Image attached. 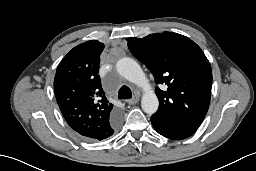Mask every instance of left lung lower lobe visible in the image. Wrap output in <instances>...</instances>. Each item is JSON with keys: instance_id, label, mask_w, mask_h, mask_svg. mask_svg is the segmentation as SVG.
<instances>
[{"instance_id": "0a47b994", "label": "left lung lower lobe", "mask_w": 256, "mask_h": 171, "mask_svg": "<svg viewBox=\"0 0 256 171\" xmlns=\"http://www.w3.org/2000/svg\"><path fill=\"white\" fill-rule=\"evenodd\" d=\"M151 122L154 129L161 134L162 136L173 139L181 140L189 137L191 134H187L184 131H181L173 122L163 119L160 117L152 116Z\"/></svg>"}]
</instances>
